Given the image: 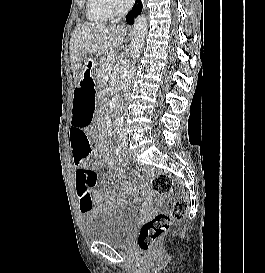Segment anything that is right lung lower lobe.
I'll use <instances>...</instances> for the list:
<instances>
[{
	"label": "right lung lower lobe",
	"instance_id": "obj_1",
	"mask_svg": "<svg viewBox=\"0 0 265 273\" xmlns=\"http://www.w3.org/2000/svg\"><path fill=\"white\" fill-rule=\"evenodd\" d=\"M138 2L137 6H134L132 11L127 14L126 21L128 24H132L134 22L133 18L136 17L138 14H140L142 10V3L140 0H136V3ZM135 3V5H136Z\"/></svg>",
	"mask_w": 265,
	"mask_h": 273
}]
</instances>
